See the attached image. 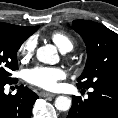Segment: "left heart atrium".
<instances>
[{
	"label": "left heart atrium",
	"instance_id": "left-heart-atrium-1",
	"mask_svg": "<svg viewBox=\"0 0 118 118\" xmlns=\"http://www.w3.org/2000/svg\"><path fill=\"white\" fill-rule=\"evenodd\" d=\"M65 77V71L59 67L37 66L26 72L29 83L46 90L57 89L59 81Z\"/></svg>",
	"mask_w": 118,
	"mask_h": 118
}]
</instances>
